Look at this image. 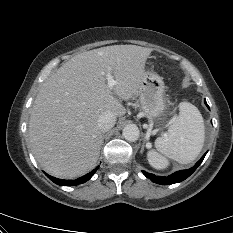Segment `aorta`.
<instances>
[{"instance_id": "1", "label": "aorta", "mask_w": 233, "mask_h": 233, "mask_svg": "<svg viewBox=\"0 0 233 233\" xmlns=\"http://www.w3.org/2000/svg\"><path fill=\"white\" fill-rule=\"evenodd\" d=\"M140 131L135 124L126 125L123 129V136L126 140L134 142L138 140Z\"/></svg>"}]
</instances>
